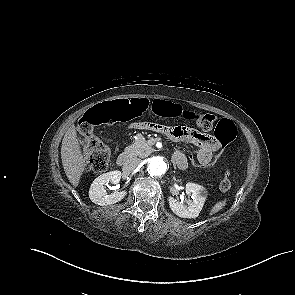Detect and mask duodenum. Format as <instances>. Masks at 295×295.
Listing matches in <instances>:
<instances>
[{"label":"duodenum","mask_w":295,"mask_h":295,"mask_svg":"<svg viewBox=\"0 0 295 295\" xmlns=\"http://www.w3.org/2000/svg\"><path fill=\"white\" fill-rule=\"evenodd\" d=\"M129 160H130V155L126 152H122L118 155L116 162L119 166H123L126 163H128Z\"/></svg>","instance_id":"duodenum-1"}]
</instances>
